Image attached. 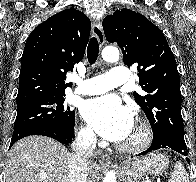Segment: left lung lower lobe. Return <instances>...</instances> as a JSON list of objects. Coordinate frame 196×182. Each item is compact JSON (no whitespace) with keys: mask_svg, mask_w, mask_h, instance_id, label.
Here are the masks:
<instances>
[{"mask_svg":"<svg viewBox=\"0 0 196 182\" xmlns=\"http://www.w3.org/2000/svg\"><path fill=\"white\" fill-rule=\"evenodd\" d=\"M161 148L174 150L184 156L188 155L184 137L176 136L173 134H164L157 138H153L151 146L146 151L138 154V156ZM186 160L190 164L189 159L186 158Z\"/></svg>","mask_w":196,"mask_h":182,"instance_id":"left-lung-lower-lobe-1","label":"left lung lower lobe"}]
</instances>
